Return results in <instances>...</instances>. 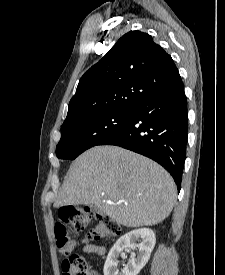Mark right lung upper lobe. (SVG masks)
Returning <instances> with one entry per match:
<instances>
[{
  "mask_svg": "<svg viewBox=\"0 0 225 275\" xmlns=\"http://www.w3.org/2000/svg\"><path fill=\"white\" fill-rule=\"evenodd\" d=\"M180 83L171 56L149 34L130 31L81 77L62 126L93 114L132 110L143 99Z\"/></svg>",
  "mask_w": 225,
  "mask_h": 275,
  "instance_id": "1",
  "label": "right lung upper lobe"
}]
</instances>
